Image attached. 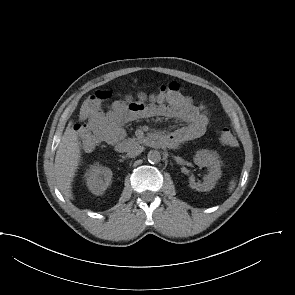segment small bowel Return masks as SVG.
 Instances as JSON below:
<instances>
[{
  "label": "small bowel",
  "mask_w": 295,
  "mask_h": 295,
  "mask_svg": "<svg viewBox=\"0 0 295 295\" xmlns=\"http://www.w3.org/2000/svg\"><path fill=\"white\" fill-rule=\"evenodd\" d=\"M147 99L150 103H146ZM152 116H163L185 124L176 131L162 135L165 145L169 147H177L202 136L209 126V116L204 106L194 105L189 98L182 100L160 92L149 97L141 95L137 100L127 97L125 100L115 101L109 111L95 112L88 119L87 128L101 130V141L114 144L123 138L124 124ZM81 138L83 146L88 148L84 138Z\"/></svg>",
  "instance_id": "obj_1"
}]
</instances>
